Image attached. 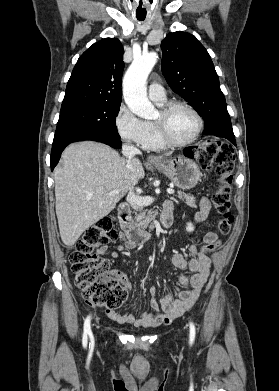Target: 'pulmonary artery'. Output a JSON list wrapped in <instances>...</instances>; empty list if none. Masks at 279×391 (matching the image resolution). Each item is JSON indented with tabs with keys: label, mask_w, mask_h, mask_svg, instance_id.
Instances as JSON below:
<instances>
[{
	"label": "pulmonary artery",
	"mask_w": 279,
	"mask_h": 391,
	"mask_svg": "<svg viewBox=\"0 0 279 391\" xmlns=\"http://www.w3.org/2000/svg\"><path fill=\"white\" fill-rule=\"evenodd\" d=\"M148 94L149 98L155 102H162L166 100V92L159 83H150Z\"/></svg>",
	"instance_id": "e3ab8cb5"
}]
</instances>
